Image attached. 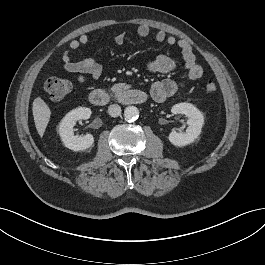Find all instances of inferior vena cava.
I'll return each instance as SVG.
<instances>
[{
  "label": "inferior vena cava",
  "mask_w": 265,
  "mask_h": 265,
  "mask_svg": "<svg viewBox=\"0 0 265 265\" xmlns=\"http://www.w3.org/2000/svg\"><path fill=\"white\" fill-rule=\"evenodd\" d=\"M108 114L111 117H118L121 114V107L117 104L110 105L108 107Z\"/></svg>",
  "instance_id": "obj_1"
}]
</instances>
